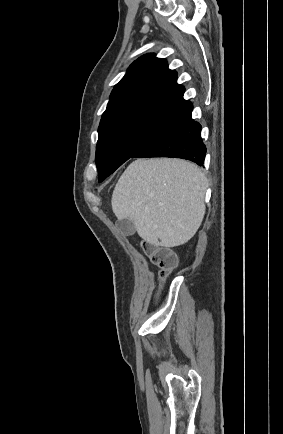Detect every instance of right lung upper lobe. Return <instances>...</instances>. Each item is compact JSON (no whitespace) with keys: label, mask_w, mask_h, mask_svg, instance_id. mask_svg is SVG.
<instances>
[{"label":"right lung upper lobe","mask_w":283,"mask_h":434,"mask_svg":"<svg viewBox=\"0 0 283 434\" xmlns=\"http://www.w3.org/2000/svg\"><path fill=\"white\" fill-rule=\"evenodd\" d=\"M184 91L177 83V72L168 68L165 59L146 54L134 61L115 85L100 123L139 113L177 120L193 109L183 98Z\"/></svg>","instance_id":"right-lung-upper-lobe-1"}]
</instances>
